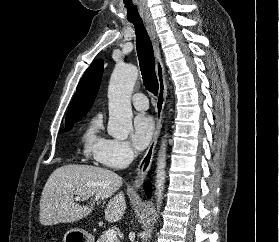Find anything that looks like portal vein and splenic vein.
Here are the masks:
<instances>
[{
    "mask_svg": "<svg viewBox=\"0 0 279 242\" xmlns=\"http://www.w3.org/2000/svg\"><path fill=\"white\" fill-rule=\"evenodd\" d=\"M75 199L76 201H80V200H85L86 198L81 196H76ZM105 234L108 242H113L117 238L116 231L114 229H108Z\"/></svg>",
    "mask_w": 279,
    "mask_h": 242,
    "instance_id": "18ae733b",
    "label": "portal vein and splenic vein"
}]
</instances>
